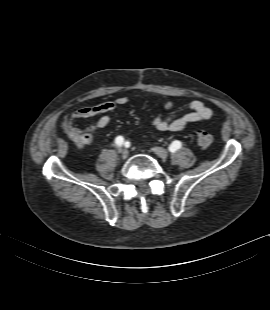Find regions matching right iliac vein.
Instances as JSON below:
<instances>
[{
  "mask_svg": "<svg viewBox=\"0 0 270 310\" xmlns=\"http://www.w3.org/2000/svg\"><path fill=\"white\" fill-rule=\"evenodd\" d=\"M121 154H122V158H123V159H126V158L128 157L129 152H128L127 149H123V150L121 151Z\"/></svg>",
  "mask_w": 270,
  "mask_h": 310,
  "instance_id": "63e3f726",
  "label": "right iliac vein"
}]
</instances>
